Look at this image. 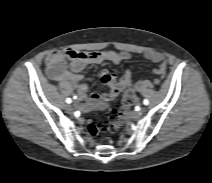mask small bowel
<instances>
[{"instance_id":"obj_1","label":"small bowel","mask_w":212,"mask_h":183,"mask_svg":"<svg viewBox=\"0 0 212 183\" xmlns=\"http://www.w3.org/2000/svg\"><path fill=\"white\" fill-rule=\"evenodd\" d=\"M144 57L158 67L154 72L158 75H164L166 72V63L161 53L155 51L146 52ZM131 54L128 52H117L114 50L83 52L74 49L56 51L49 54L46 58L47 71L51 79L58 82H69L76 85V95L81 109H87L90 104H99L102 99L110 101L120 92L132 84V71L127 69L122 77L117 80V74L108 70H102L100 73L101 81L108 86L107 92L93 93L90 102L87 101V85L80 83L83 76L79 74L89 64H100L109 62L119 65L123 61L129 60Z\"/></svg>"}]
</instances>
